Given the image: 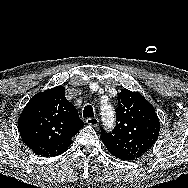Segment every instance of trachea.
Here are the masks:
<instances>
[{
	"label": "trachea",
	"instance_id": "3493384b",
	"mask_svg": "<svg viewBox=\"0 0 188 188\" xmlns=\"http://www.w3.org/2000/svg\"><path fill=\"white\" fill-rule=\"evenodd\" d=\"M83 117H94L93 107L91 105H86L83 110Z\"/></svg>",
	"mask_w": 188,
	"mask_h": 188
}]
</instances>
